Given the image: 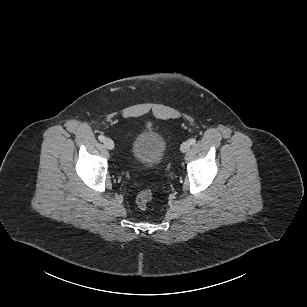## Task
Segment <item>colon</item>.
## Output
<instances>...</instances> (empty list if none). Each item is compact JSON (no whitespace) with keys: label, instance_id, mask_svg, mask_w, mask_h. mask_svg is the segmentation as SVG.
I'll return each mask as SVG.
<instances>
[{"label":"colon","instance_id":"colon-1","mask_svg":"<svg viewBox=\"0 0 307 307\" xmlns=\"http://www.w3.org/2000/svg\"><path fill=\"white\" fill-rule=\"evenodd\" d=\"M152 199V193L149 190H144L138 194L136 205L140 210H145Z\"/></svg>","mask_w":307,"mask_h":307}]
</instances>
